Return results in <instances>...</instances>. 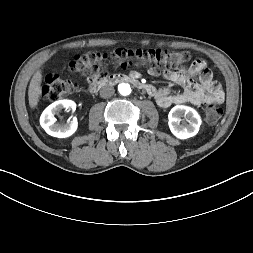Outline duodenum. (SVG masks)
I'll list each match as a JSON object with an SVG mask.
<instances>
[{
    "instance_id": "obj_1",
    "label": "duodenum",
    "mask_w": 253,
    "mask_h": 253,
    "mask_svg": "<svg viewBox=\"0 0 253 253\" xmlns=\"http://www.w3.org/2000/svg\"><path fill=\"white\" fill-rule=\"evenodd\" d=\"M119 82H127L132 84L134 87L143 90L147 93H151L153 88L151 85H147L136 79L135 77L122 75V74H114L103 77L102 79L98 80L96 83H92L89 87V91L92 94L97 93L100 89L107 85L116 84Z\"/></svg>"
}]
</instances>
